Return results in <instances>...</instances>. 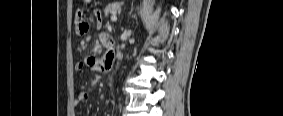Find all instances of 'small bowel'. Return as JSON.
<instances>
[{
  "label": "small bowel",
  "instance_id": "small-bowel-1",
  "mask_svg": "<svg viewBox=\"0 0 283 116\" xmlns=\"http://www.w3.org/2000/svg\"><path fill=\"white\" fill-rule=\"evenodd\" d=\"M94 14L97 18V25L100 27L102 25V15L101 11L96 9L94 11ZM77 19H78V29L77 34L80 36H83L88 31V23L84 21L83 19V13L79 11L77 13ZM100 42L104 43L107 41L108 36L106 34L101 33L100 36ZM114 55L111 51H109L104 57L102 58H95L91 56L84 57L81 61L77 62L75 65V70L77 72H82L85 68H89L93 72L97 73H106L109 71L112 62H113ZM90 99V92L86 90H82L79 92L76 103L88 101Z\"/></svg>",
  "mask_w": 283,
  "mask_h": 116
}]
</instances>
